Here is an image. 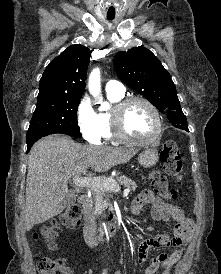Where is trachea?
<instances>
[{
  "mask_svg": "<svg viewBox=\"0 0 221 274\" xmlns=\"http://www.w3.org/2000/svg\"><path fill=\"white\" fill-rule=\"evenodd\" d=\"M109 20H113L114 19V17H107Z\"/></svg>",
  "mask_w": 221,
  "mask_h": 274,
  "instance_id": "1",
  "label": "trachea"
}]
</instances>
